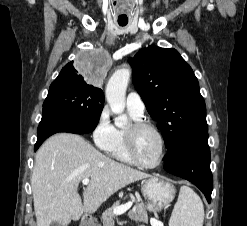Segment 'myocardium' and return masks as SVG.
Wrapping results in <instances>:
<instances>
[{"label":"myocardium","mask_w":247,"mask_h":226,"mask_svg":"<svg viewBox=\"0 0 247 226\" xmlns=\"http://www.w3.org/2000/svg\"><path fill=\"white\" fill-rule=\"evenodd\" d=\"M142 129L152 130L157 135L160 141V146H161L160 156L159 159L153 164L144 163L139 159L136 153L135 136L136 133ZM124 138H125V147L128 156L136 165L146 169H154L159 167L163 163L166 156V142L162 132L154 124L143 120H136L129 126V128L125 130Z\"/></svg>","instance_id":"obj_1"}]
</instances>
